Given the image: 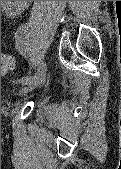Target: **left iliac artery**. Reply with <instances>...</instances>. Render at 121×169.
Here are the masks:
<instances>
[{
	"label": "left iliac artery",
	"mask_w": 121,
	"mask_h": 169,
	"mask_svg": "<svg viewBox=\"0 0 121 169\" xmlns=\"http://www.w3.org/2000/svg\"><path fill=\"white\" fill-rule=\"evenodd\" d=\"M23 31H25V26H20V30H16V34L14 35V42H15V51H18V54H25V49L22 48V43H23ZM46 70V65L41 64L39 70L37 71L38 73L34 75H29V76H24L21 79L18 80L19 84L26 85L28 84L31 80L37 78L39 75L44 74Z\"/></svg>",
	"instance_id": "obj_1"
}]
</instances>
